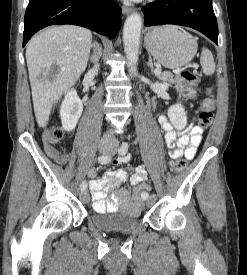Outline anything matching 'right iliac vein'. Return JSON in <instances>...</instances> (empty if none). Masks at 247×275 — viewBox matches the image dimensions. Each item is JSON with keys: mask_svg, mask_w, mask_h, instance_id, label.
<instances>
[{"mask_svg": "<svg viewBox=\"0 0 247 275\" xmlns=\"http://www.w3.org/2000/svg\"><path fill=\"white\" fill-rule=\"evenodd\" d=\"M99 151L103 154H109L110 153V147L108 144L104 141L100 142L99 144ZM80 198L83 203H88L90 200L89 194L86 190H83L80 194Z\"/></svg>", "mask_w": 247, "mask_h": 275, "instance_id": "right-iliac-vein-1", "label": "right iliac vein"}]
</instances>
